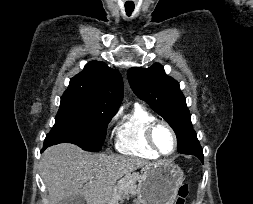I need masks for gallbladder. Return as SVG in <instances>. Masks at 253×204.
<instances>
[{
	"instance_id": "1",
	"label": "gallbladder",
	"mask_w": 253,
	"mask_h": 204,
	"mask_svg": "<svg viewBox=\"0 0 253 204\" xmlns=\"http://www.w3.org/2000/svg\"><path fill=\"white\" fill-rule=\"evenodd\" d=\"M85 198L82 195H76L62 200L59 204H84Z\"/></svg>"
}]
</instances>
